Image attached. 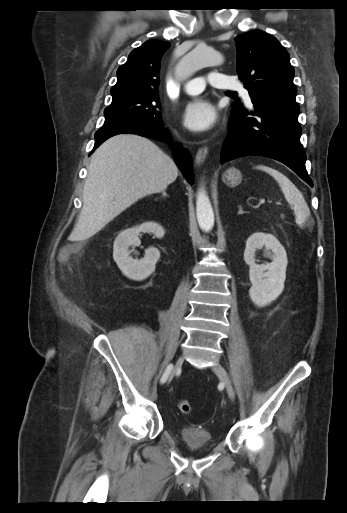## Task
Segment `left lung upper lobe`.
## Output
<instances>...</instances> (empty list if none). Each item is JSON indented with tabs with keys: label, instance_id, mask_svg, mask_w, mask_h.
I'll list each match as a JSON object with an SVG mask.
<instances>
[{
	"label": "left lung upper lobe",
	"instance_id": "obj_1",
	"mask_svg": "<svg viewBox=\"0 0 347 513\" xmlns=\"http://www.w3.org/2000/svg\"><path fill=\"white\" fill-rule=\"evenodd\" d=\"M237 73L251 98H295L294 69L289 55L279 41L261 30L235 38Z\"/></svg>",
	"mask_w": 347,
	"mask_h": 513
}]
</instances>
